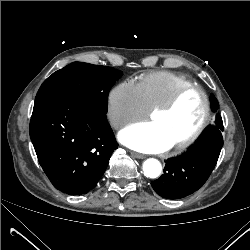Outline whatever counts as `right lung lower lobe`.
<instances>
[{"label":"right lung lower lobe","instance_id":"obj_1","mask_svg":"<svg viewBox=\"0 0 250 250\" xmlns=\"http://www.w3.org/2000/svg\"><path fill=\"white\" fill-rule=\"evenodd\" d=\"M30 138L51 183L70 195L97 184L118 146L106 113L64 98L34 103Z\"/></svg>","mask_w":250,"mask_h":250}]
</instances>
